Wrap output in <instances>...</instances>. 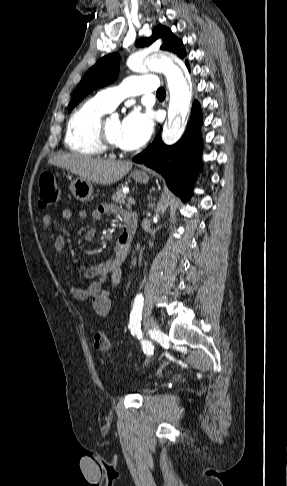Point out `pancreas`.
Masks as SVG:
<instances>
[{
  "label": "pancreas",
  "mask_w": 287,
  "mask_h": 486,
  "mask_svg": "<svg viewBox=\"0 0 287 486\" xmlns=\"http://www.w3.org/2000/svg\"><path fill=\"white\" fill-rule=\"evenodd\" d=\"M126 195L122 192L121 189H118L111 197L112 201L119 204L125 203Z\"/></svg>",
  "instance_id": "pancreas-1"
}]
</instances>
